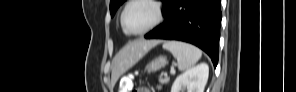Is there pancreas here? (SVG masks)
<instances>
[{
	"instance_id": "pancreas-1",
	"label": "pancreas",
	"mask_w": 296,
	"mask_h": 92,
	"mask_svg": "<svg viewBox=\"0 0 296 92\" xmlns=\"http://www.w3.org/2000/svg\"><path fill=\"white\" fill-rule=\"evenodd\" d=\"M159 82H160L161 84H166V83L169 82V78H168V77L160 78V79H159Z\"/></svg>"
}]
</instances>
